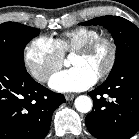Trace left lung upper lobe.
Here are the masks:
<instances>
[{
  "label": "left lung upper lobe",
  "mask_w": 139,
  "mask_h": 139,
  "mask_svg": "<svg viewBox=\"0 0 139 139\" xmlns=\"http://www.w3.org/2000/svg\"><path fill=\"white\" fill-rule=\"evenodd\" d=\"M81 25H101L111 33L117 48L115 63L109 76L131 58L139 56V29L130 21L118 16H102Z\"/></svg>",
  "instance_id": "left-lung-upper-lobe-1"
}]
</instances>
